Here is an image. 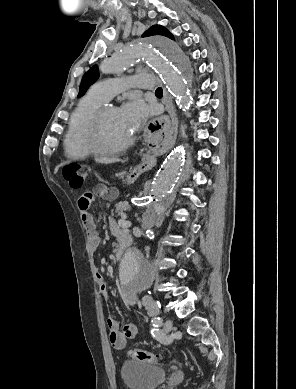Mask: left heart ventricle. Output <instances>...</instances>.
Segmentation results:
<instances>
[{
  "mask_svg": "<svg viewBox=\"0 0 296 389\" xmlns=\"http://www.w3.org/2000/svg\"><path fill=\"white\" fill-rule=\"evenodd\" d=\"M132 134L125 127L119 111L110 109L105 115L102 125V141L105 145L114 147L126 142Z\"/></svg>",
  "mask_w": 296,
  "mask_h": 389,
  "instance_id": "1",
  "label": "left heart ventricle"
}]
</instances>
